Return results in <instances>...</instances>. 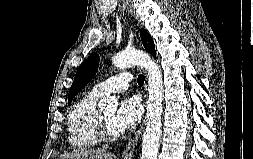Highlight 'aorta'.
<instances>
[{
	"label": "aorta",
	"mask_w": 253,
	"mask_h": 159,
	"mask_svg": "<svg viewBox=\"0 0 253 159\" xmlns=\"http://www.w3.org/2000/svg\"><path fill=\"white\" fill-rule=\"evenodd\" d=\"M115 67L123 69L140 65L145 68L148 78L149 98L147 102L146 124L142 138L141 159H157L161 136V116L163 112V79L158 65L146 53L137 50H124L113 58ZM115 97L100 100L102 110L116 109Z\"/></svg>",
	"instance_id": "1"
}]
</instances>
